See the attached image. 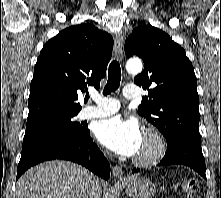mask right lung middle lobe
Masks as SVG:
<instances>
[{
  "label": "right lung middle lobe",
  "instance_id": "obj_1",
  "mask_svg": "<svg viewBox=\"0 0 221 198\" xmlns=\"http://www.w3.org/2000/svg\"><path fill=\"white\" fill-rule=\"evenodd\" d=\"M77 114L78 112L53 114L27 122L22 147L49 136L84 134L88 130V126L74 121Z\"/></svg>",
  "mask_w": 221,
  "mask_h": 198
}]
</instances>
